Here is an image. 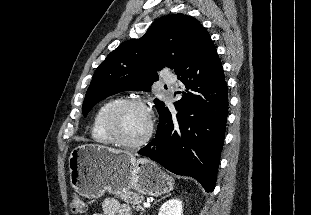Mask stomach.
<instances>
[{
	"label": "stomach",
	"mask_w": 311,
	"mask_h": 215,
	"mask_svg": "<svg viewBox=\"0 0 311 215\" xmlns=\"http://www.w3.org/2000/svg\"><path fill=\"white\" fill-rule=\"evenodd\" d=\"M68 161L71 186L88 199L100 198L105 192L119 195L131 189L142 195L160 196L174 185V179L151 160L135 159L132 154L104 146H78Z\"/></svg>",
	"instance_id": "0dacf381"
}]
</instances>
